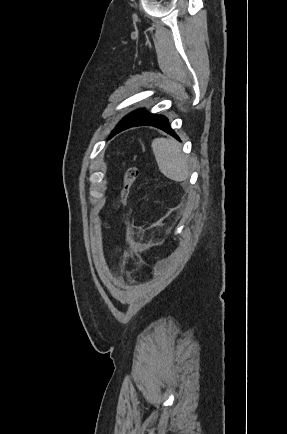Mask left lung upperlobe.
<instances>
[{"instance_id": "obj_1", "label": "left lung upper lobe", "mask_w": 287, "mask_h": 434, "mask_svg": "<svg viewBox=\"0 0 287 434\" xmlns=\"http://www.w3.org/2000/svg\"><path fill=\"white\" fill-rule=\"evenodd\" d=\"M142 109H140V110H136V111H134V112H132V113H130L129 115H127V116H125L121 121H120V123L115 127V129H114V131H113V133L126 121V120H128L130 117H132L133 115H135L136 113H138V112H140ZM112 133V134H113ZM111 134V135H112Z\"/></svg>"}]
</instances>
